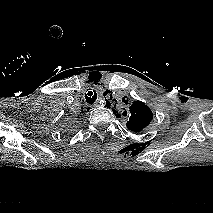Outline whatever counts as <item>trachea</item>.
<instances>
[{
	"mask_svg": "<svg viewBox=\"0 0 213 213\" xmlns=\"http://www.w3.org/2000/svg\"><path fill=\"white\" fill-rule=\"evenodd\" d=\"M85 97H86L87 103L93 104V103L96 101V99H97V94H96L95 91H94V93H93L92 91H89V92L86 94Z\"/></svg>",
	"mask_w": 213,
	"mask_h": 213,
	"instance_id": "obj_1",
	"label": "trachea"
}]
</instances>
